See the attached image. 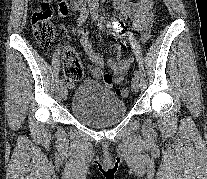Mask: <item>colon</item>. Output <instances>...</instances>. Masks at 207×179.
Returning <instances> with one entry per match:
<instances>
[{"mask_svg":"<svg viewBox=\"0 0 207 179\" xmlns=\"http://www.w3.org/2000/svg\"><path fill=\"white\" fill-rule=\"evenodd\" d=\"M53 14L52 0H42L31 16L34 37L43 48L50 47L54 39ZM63 74L70 82L79 81L83 76V67L72 51L65 53ZM116 94L125 98L129 95V90L127 88L117 89Z\"/></svg>","mask_w":207,"mask_h":179,"instance_id":"1","label":"colon"}]
</instances>
